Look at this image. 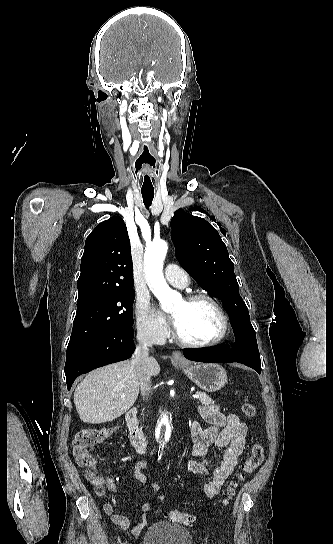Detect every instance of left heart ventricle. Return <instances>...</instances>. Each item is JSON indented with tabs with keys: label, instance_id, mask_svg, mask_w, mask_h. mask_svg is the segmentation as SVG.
Instances as JSON below:
<instances>
[{
	"label": "left heart ventricle",
	"instance_id": "left-heart-ventricle-1",
	"mask_svg": "<svg viewBox=\"0 0 333 544\" xmlns=\"http://www.w3.org/2000/svg\"><path fill=\"white\" fill-rule=\"evenodd\" d=\"M179 334L192 342L215 338L221 330V318L213 305L206 301L188 304L179 302L172 310Z\"/></svg>",
	"mask_w": 333,
	"mask_h": 544
}]
</instances>
